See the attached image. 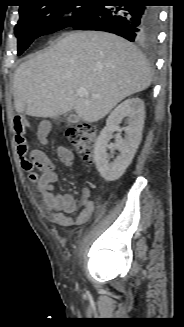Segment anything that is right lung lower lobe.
Listing matches in <instances>:
<instances>
[{"label":"right lung lower lobe","mask_w":184,"mask_h":327,"mask_svg":"<svg viewBox=\"0 0 184 327\" xmlns=\"http://www.w3.org/2000/svg\"><path fill=\"white\" fill-rule=\"evenodd\" d=\"M144 3V0H127L124 6L94 5L73 27L115 33L131 42L152 45L158 34V11L145 7Z\"/></svg>","instance_id":"obj_1"}]
</instances>
